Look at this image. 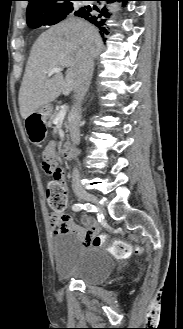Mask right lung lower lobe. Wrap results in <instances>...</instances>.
<instances>
[{"label":"right lung lower lobe","instance_id":"98d812e1","mask_svg":"<svg viewBox=\"0 0 183 329\" xmlns=\"http://www.w3.org/2000/svg\"><path fill=\"white\" fill-rule=\"evenodd\" d=\"M100 3L101 1L110 2H123L124 4L130 0H93ZM76 16L82 17L89 21L90 23L97 26L100 30L101 36L109 34L108 28L106 26V21L110 18V13L108 9L104 6L99 5H88L83 8H80L78 11L75 12Z\"/></svg>","mask_w":183,"mask_h":329}]
</instances>
